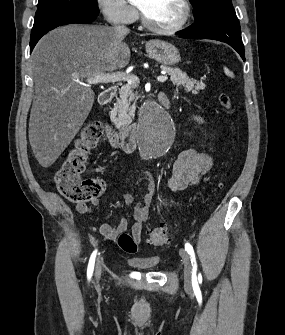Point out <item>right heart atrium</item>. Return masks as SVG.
<instances>
[{"label": "right heart atrium", "instance_id": "right-heart-atrium-1", "mask_svg": "<svg viewBox=\"0 0 285 335\" xmlns=\"http://www.w3.org/2000/svg\"><path fill=\"white\" fill-rule=\"evenodd\" d=\"M101 8L106 21L112 25H129L138 18L134 1H102Z\"/></svg>", "mask_w": 285, "mask_h": 335}]
</instances>
